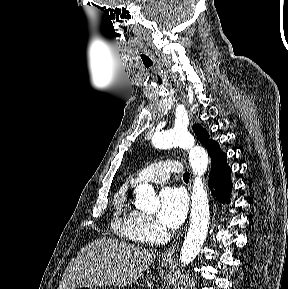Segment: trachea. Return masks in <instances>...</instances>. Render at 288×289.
Listing matches in <instances>:
<instances>
[{
    "label": "trachea",
    "instance_id": "3493384b",
    "mask_svg": "<svg viewBox=\"0 0 288 289\" xmlns=\"http://www.w3.org/2000/svg\"><path fill=\"white\" fill-rule=\"evenodd\" d=\"M141 60L144 64V66L148 69V70H152L154 69V62L152 60L151 57H149L148 55H145V54H141ZM190 178V174L188 172H185L183 174V179L184 180H189Z\"/></svg>",
    "mask_w": 288,
    "mask_h": 289
}]
</instances>
